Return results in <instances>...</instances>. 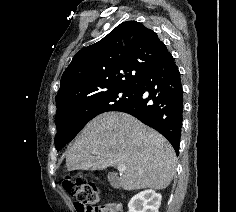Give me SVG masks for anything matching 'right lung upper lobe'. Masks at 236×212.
<instances>
[{
    "instance_id": "cb5924a9",
    "label": "right lung upper lobe",
    "mask_w": 236,
    "mask_h": 212,
    "mask_svg": "<svg viewBox=\"0 0 236 212\" xmlns=\"http://www.w3.org/2000/svg\"><path fill=\"white\" fill-rule=\"evenodd\" d=\"M166 50L157 34L142 23H121L73 57L61 78L57 111L97 93L136 85Z\"/></svg>"
}]
</instances>
